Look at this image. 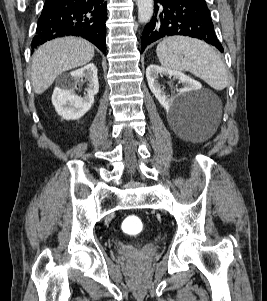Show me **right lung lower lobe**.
<instances>
[{
	"instance_id": "obj_1",
	"label": "right lung lower lobe",
	"mask_w": 267,
	"mask_h": 301,
	"mask_svg": "<svg viewBox=\"0 0 267 301\" xmlns=\"http://www.w3.org/2000/svg\"><path fill=\"white\" fill-rule=\"evenodd\" d=\"M105 0H52L46 2L38 19L32 52L38 45L57 37L80 36L106 52Z\"/></svg>"
}]
</instances>
